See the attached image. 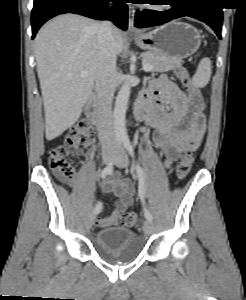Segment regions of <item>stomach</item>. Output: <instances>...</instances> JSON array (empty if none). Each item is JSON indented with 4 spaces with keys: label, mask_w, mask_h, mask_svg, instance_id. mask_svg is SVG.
I'll return each instance as SVG.
<instances>
[{
    "label": "stomach",
    "mask_w": 246,
    "mask_h": 300,
    "mask_svg": "<svg viewBox=\"0 0 246 300\" xmlns=\"http://www.w3.org/2000/svg\"><path fill=\"white\" fill-rule=\"evenodd\" d=\"M148 52H156L170 61H182L193 55L201 45L200 32L192 25L171 21L134 38Z\"/></svg>",
    "instance_id": "1"
}]
</instances>
